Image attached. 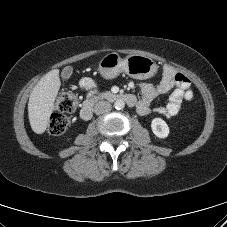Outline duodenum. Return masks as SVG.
<instances>
[{
  "mask_svg": "<svg viewBox=\"0 0 227 227\" xmlns=\"http://www.w3.org/2000/svg\"><path fill=\"white\" fill-rule=\"evenodd\" d=\"M97 99H102L110 102L122 100L126 102L129 106H135L137 103L136 98L131 94L110 92L103 93L98 98H90L84 102L83 107L80 111V116L83 120L91 119L93 114V107Z\"/></svg>",
  "mask_w": 227,
  "mask_h": 227,
  "instance_id": "duodenum-1",
  "label": "duodenum"
}]
</instances>
